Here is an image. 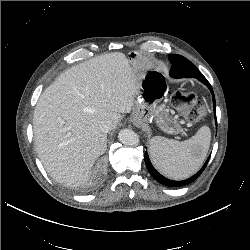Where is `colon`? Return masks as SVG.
<instances>
[{"label": "colon", "mask_w": 250, "mask_h": 250, "mask_svg": "<svg viewBox=\"0 0 250 250\" xmlns=\"http://www.w3.org/2000/svg\"><path fill=\"white\" fill-rule=\"evenodd\" d=\"M172 104L190 122L199 121L207 113L206 107L198 101L193 92H176L172 97Z\"/></svg>", "instance_id": "1"}]
</instances>
